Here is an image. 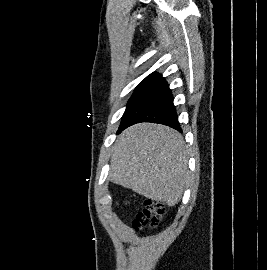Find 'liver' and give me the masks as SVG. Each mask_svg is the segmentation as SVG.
Segmentation results:
<instances>
[{"label": "liver", "mask_w": 267, "mask_h": 270, "mask_svg": "<svg viewBox=\"0 0 267 270\" xmlns=\"http://www.w3.org/2000/svg\"><path fill=\"white\" fill-rule=\"evenodd\" d=\"M110 180L151 200L176 205L189 179L181 134L159 124L139 123L117 138Z\"/></svg>", "instance_id": "obj_1"}]
</instances>
